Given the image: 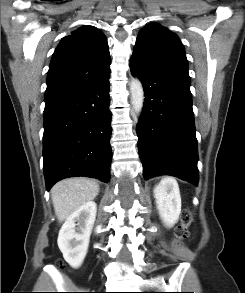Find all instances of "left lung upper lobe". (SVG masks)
<instances>
[{
  "mask_svg": "<svg viewBox=\"0 0 245 293\" xmlns=\"http://www.w3.org/2000/svg\"><path fill=\"white\" fill-rule=\"evenodd\" d=\"M133 55L190 80L183 44L159 24H149L139 32Z\"/></svg>",
  "mask_w": 245,
  "mask_h": 293,
  "instance_id": "left-lung-upper-lobe-1",
  "label": "left lung upper lobe"
}]
</instances>
